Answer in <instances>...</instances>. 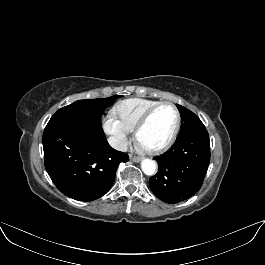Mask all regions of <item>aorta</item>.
I'll return each instance as SVG.
<instances>
[{
  "label": "aorta",
  "instance_id": "obj_1",
  "mask_svg": "<svg viewBox=\"0 0 265 265\" xmlns=\"http://www.w3.org/2000/svg\"><path fill=\"white\" fill-rule=\"evenodd\" d=\"M156 162L152 159H143L141 162V169L146 175H153L156 172Z\"/></svg>",
  "mask_w": 265,
  "mask_h": 265
}]
</instances>
